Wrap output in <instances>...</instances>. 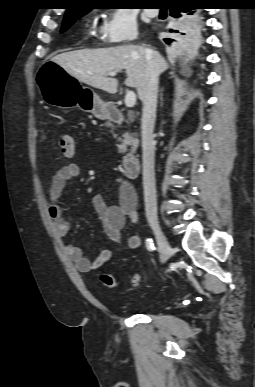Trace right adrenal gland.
<instances>
[{"mask_svg": "<svg viewBox=\"0 0 255 387\" xmlns=\"http://www.w3.org/2000/svg\"><path fill=\"white\" fill-rule=\"evenodd\" d=\"M160 100H161V103H162V101H163V89H161V91H160Z\"/></svg>", "mask_w": 255, "mask_h": 387, "instance_id": "1", "label": "right adrenal gland"}]
</instances>
